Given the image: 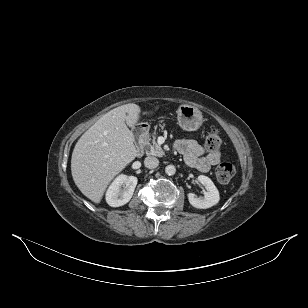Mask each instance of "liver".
<instances>
[{
    "label": "liver",
    "mask_w": 308,
    "mask_h": 308,
    "mask_svg": "<svg viewBox=\"0 0 308 308\" xmlns=\"http://www.w3.org/2000/svg\"><path fill=\"white\" fill-rule=\"evenodd\" d=\"M140 112L134 103L114 108L76 143L71 158L72 177L79 190L94 203L101 202L110 182L137 156L129 127L137 124Z\"/></svg>",
    "instance_id": "1"
}]
</instances>
